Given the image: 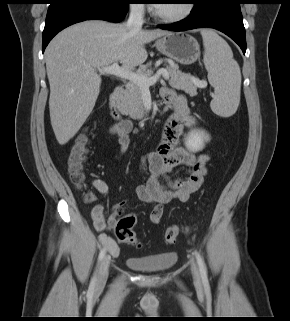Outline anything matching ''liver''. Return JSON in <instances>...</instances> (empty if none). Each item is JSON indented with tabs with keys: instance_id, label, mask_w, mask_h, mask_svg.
<instances>
[{
	"instance_id": "obj_1",
	"label": "liver",
	"mask_w": 290,
	"mask_h": 321,
	"mask_svg": "<svg viewBox=\"0 0 290 321\" xmlns=\"http://www.w3.org/2000/svg\"><path fill=\"white\" fill-rule=\"evenodd\" d=\"M168 33L131 31L124 24L89 20L52 39L45 61L51 125L60 145L75 136L95 106L102 81L97 70L117 62L124 67L142 65L148 57L145 44Z\"/></svg>"
}]
</instances>
